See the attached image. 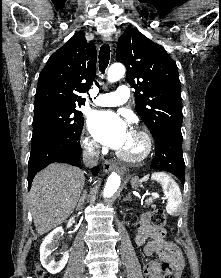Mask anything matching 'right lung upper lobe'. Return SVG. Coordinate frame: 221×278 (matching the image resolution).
<instances>
[{
    "instance_id": "right-lung-upper-lobe-1",
    "label": "right lung upper lobe",
    "mask_w": 221,
    "mask_h": 278,
    "mask_svg": "<svg viewBox=\"0 0 221 278\" xmlns=\"http://www.w3.org/2000/svg\"><path fill=\"white\" fill-rule=\"evenodd\" d=\"M96 72V48L77 32L49 59L39 75L34 107L44 104L81 106L93 84Z\"/></svg>"
}]
</instances>
